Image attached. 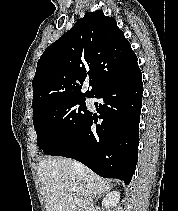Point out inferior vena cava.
I'll list each match as a JSON object with an SVG mask.
<instances>
[{"label":"inferior vena cava","instance_id":"602c4592","mask_svg":"<svg viewBox=\"0 0 178 211\" xmlns=\"http://www.w3.org/2000/svg\"><path fill=\"white\" fill-rule=\"evenodd\" d=\"M76 167L78 169H82V165L80 163H76ZM92 202H93V199L90 198V206H89V210L91 211V207H92Z\"/></svg>","mask_w":178,"mask_h":211}]
</instances>
